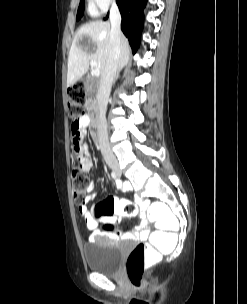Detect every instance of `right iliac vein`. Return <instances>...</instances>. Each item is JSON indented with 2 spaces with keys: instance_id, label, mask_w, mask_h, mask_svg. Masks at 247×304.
Instances as JSON below:
<instances>
[{
  "instance_id": "63e3f726",
  "label": "right iliac vein",
  "mask_w": 247,
  "mask_h": 304,
  "mask_svg": "<svg viewBox=\"0 0 247 304\" xmlns=\"http://www.w3.org/2000/svg\"><path fill=\"white\" fill-rule=\"evenodd\" d=\"M110 167H111V169H112L117 175H120V174H121V170H120V168L118 167V165L111 164Z\"/></svg>"
}]
</instances>
